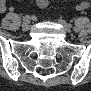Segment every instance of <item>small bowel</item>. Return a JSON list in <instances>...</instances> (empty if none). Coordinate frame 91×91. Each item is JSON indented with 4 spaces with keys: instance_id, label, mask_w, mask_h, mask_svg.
<instances>
[{
    "instance_id": "1",
    "label": "small bowel",
    "mask_w": 91,
    "mask_h": 91,
    "mask_svg": "<svg viewBox=\"0 0 91 91\" xmlns=\"http://www.w3.org/2000/svg\"><path fill=\"white\" fill-rule=\"evenodd\" d=\"M37 4L40 7H46L48 5V1L47 0H37ZM90 7V3L88 1H81L78 5H77V10L79 11H83V10H87ZM6 6L4 4L0 5V11L3 13L6 11ZM13 10V9H11Z\"/></svg>"
}]
</instances>
